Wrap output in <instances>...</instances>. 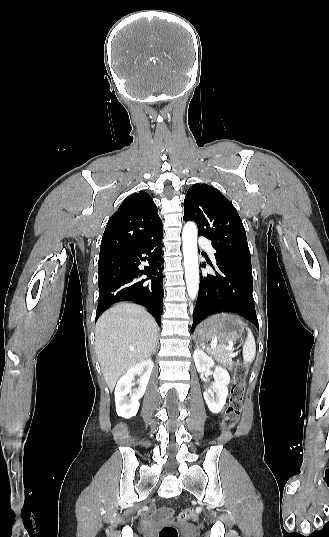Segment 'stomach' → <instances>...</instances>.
<instances>
[{
	"instance_id": "1",
	"label": "stomach",
	"mask_w": 329,
	"mask_h": 537,
	"mask_svg": "<svg viewBox=\"0 0 329 537\" xmlns=\"http://www.w3.org/2000/svg\"><path fill=\"white\" fill-rule=\"evenodd\" d=\"M246 324L238 316L220 313L203 321L195 332L196 340L200 343L206 341H233L242 336Z\"/></svg>"
}]
</instances>
